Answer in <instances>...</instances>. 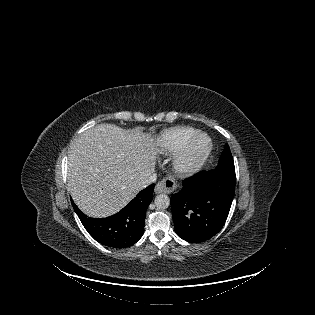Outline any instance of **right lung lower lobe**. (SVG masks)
Masks as SVG:
<instances>
[{
	"instance_id": "98d812e1",
	"label": "right lung lower lobe",
	"mask_w": 315,
	"mask_h": 315,
	"mask_svg": "<svg viewBox=\"0 0 315 315\" xmlns=\"http://www.w3.org/2000/svg\"><path fill=\"white\" fill-rule=\"evenodd\" d=\"M154 184L140 191L121 211L107 218H91L72 201L73 208L87 232L99 243L112 248H126L144 233L147 207L153 199Z\"/></svg>"
}]
</instances>
